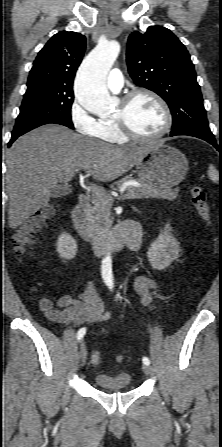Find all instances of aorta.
<instances>
[{
  "label": "aorta",
  "mask_w": 222,
  "mask_h": 447,
  "mask_svg": "<svg viewBox=\"0 0 222 447\" xmlns=\"http://www.w3.org/2000/svg\"><path fill=\"white\" fill-rule=\"evenodd\" d=\"M120 44L115 41H100L98 45L85 57L76 76L75 98L87 111L94 114H105L113 105L105 85L106 76L117 59ZM110 265V257H106ZM111 272L105 276L111 281Z\"/></svg>",
  "instance_id": "aorta-1"
}]
</instances>
